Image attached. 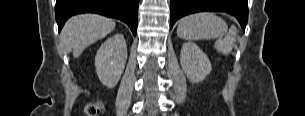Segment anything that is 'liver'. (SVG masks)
<instances>
[{
  "instance_id": "6515ba94",
  "label": "liver",
  "mask_w": 305,
  "mask_h": 116,
  "mask_svg": "<svg viewBox=\"0 0 305 116\" xmlns=\"http://www.w3.org/2000/svg\"><path fill=\"white\" fill-rule=\"evenodd\" d=\"M115 21L96 14L71 17L64 25L61 37L78 58L89 45L106 37L115 28Z\"/></svg>"
}]
</instances>
